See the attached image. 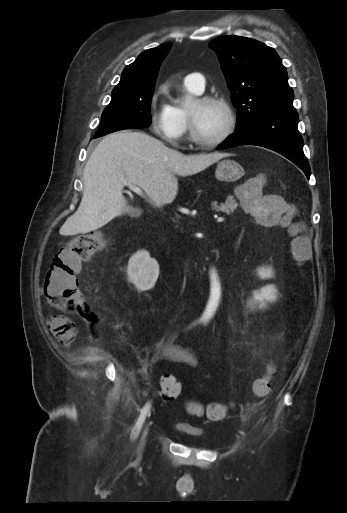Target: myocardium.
<instances>
[{
    "label": "myocardium",
    "instance_id": "f54148a6",
    "mask_svg": "<svg viewBox=\"0 0 347 513\" xmlns=\"http://www.w3.org/2000/svg\"><path fill=\"white\" fill-rule=\"evenodd\" d=\"M196 101L201 102V103H214V104L221 106L225 110L226 117H227L226 127H225L224 131L218 137L211 139V140L203 139L198 135V133L195 129L194 122L187 110L188 129H189L191 140L195 144L205 147V148L216 147V146L220 145L221 143H223L228 137H230L235 130L236 116H235L234 110H233L232 106L230 105V103L225 98H222L219 96L205 95V96L199 97Z\"/></svg>",
    "mask_w": 347,
    "mask_h": 513
}]
</instances>
